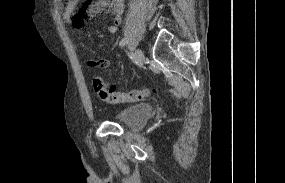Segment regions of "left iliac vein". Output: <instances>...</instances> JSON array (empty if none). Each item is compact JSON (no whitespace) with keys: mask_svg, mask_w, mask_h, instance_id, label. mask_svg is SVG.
I'll return each instance as SVG.
<instances>
[{"mask_svg":"<svg viewBox=\"0 0 285 183\" xmlns=\"http://www.w3.org/2000/svg\"><path fill=\"white\" fill-rule=\"evenodd\" d=\"M134 57H135V60L136 62L139 64V65H142L143 62H144V53L141 49H136L135 53H134Z\"/></svg>","mask_w":285,"mask_h":183,"instance_id":"1","label":"left iliac vein"}]
</instances>
